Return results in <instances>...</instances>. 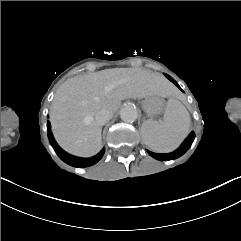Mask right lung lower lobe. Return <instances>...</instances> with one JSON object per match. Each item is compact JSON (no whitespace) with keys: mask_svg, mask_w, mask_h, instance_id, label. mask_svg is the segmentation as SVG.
Segmentation results:
<instances>
[{"mask_svg":"<svg viewBox=\"0 0 241 241\" xmlns=\"http://www.w3.org/2000/svg\"><path fill=\"white\" fill-rule=\"evenodd\" d=\"M47 128L50 144L53 146L58 156L67 164L74 167L83 168L94 165L102 158L104 149H102L97 155L90 158L77 157L65 152L54 140L53 134L51 132V125L49 122L47 123Z\"/></svg>","mask_w":241,"mask_h":241,"instance_id":"98d812e1","label":"right lung lower lobe"}]
</instances>
